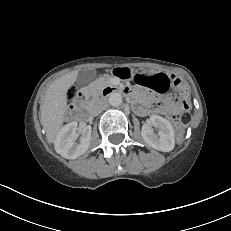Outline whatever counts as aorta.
Listing matches in <instances>:
<instances>
[{"mask_svg": "<svg viewBox=\"0 0 231 231\" xmlns=\"http://www.w3.org/2000/svg\"><path fill=\"white\" fill-rule=\"evenodd\" d=\"M109 103L114 106H120L122 104V96L120 93L113 92L109 96Z\"/></svg>", "mask_w": 231, "mask_h": 231, "instance_id": "aorta-1", "label": "aorta"}]
</instances>
